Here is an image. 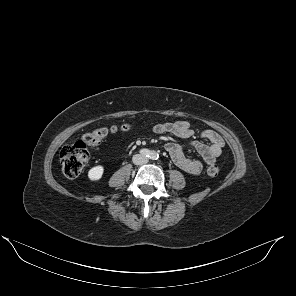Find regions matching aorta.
<instances>
[{"label": "aorta", "instance_id": "762f6f07", "mask_svg": "<svg viewBox=\"0 0 296 296\" xmlns=\"http://www.w3.org/2000/svg\"><path fill=\"white\" fill-rule=\"evenodd\" d=\"M152 158H156V155H154Z\"/></svg>", "mask_w": 296, "mask_h": 296}]
</instances>
